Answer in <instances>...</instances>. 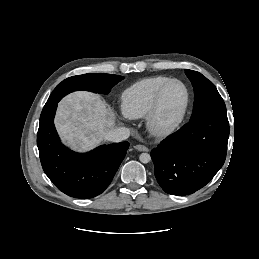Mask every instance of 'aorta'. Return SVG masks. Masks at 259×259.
Listing matches in <instances>:
<instances>
[{
	"instance_id": "obj_1",
	"label": "aorta",
	"mask_w": 259,
	"mask_h": 259,
	"mask_svg": "<svg viewBox=\"0 0 259 259\" xmlns=\"http://www.w3.org/2000/svg\"><path fill=\"white\" fill-rule=\"evenodd\" d=\"M139 160H140V162H142V163H144V164L150 162V160H151L150 154H148V153H142V154L139 156Z\"/></svg>"
}]
</instances>
